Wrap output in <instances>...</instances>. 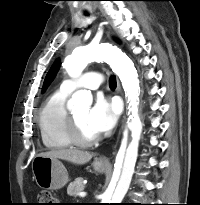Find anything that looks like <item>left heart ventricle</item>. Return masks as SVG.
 <instances>
[{
	"instance_id": "1",
	"label": "left heart ventricle",
	"mask_w": 200,
	"mask_h": 205,
	"mask_svg": "<svg viewBox=\"0 0 200 205\" xmlns=\"http://www.w3.org/2000/svg\"><path fill=\"white\" fill-rule=\"evenodd\" d=\"M88 108H81L72 113L78 124L80 133L85 138H92L98 134L88 124Z\"/></svg>"
}]
</instances>
